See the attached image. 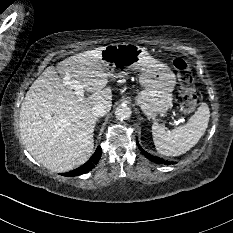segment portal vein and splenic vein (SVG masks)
<instances>
[{
    "label": "portal vein and splenic vein",
    "mask_w": 233,
    "mask_h": 233,
    "mask_svg": "<svg viewBox=\"0 0 233 233\" xmlns=\"http://www.w3.org/2000/svg\"><path fill=\"white\" fill-rule=\"evenodd\" d=\"M63 82L65 85H70L79 97H84V90L82 85L78 84L75 80H70L68 76L64 77Z\"/></svg>",
    "instance_id": "portal-vein-and-splenic-vein-1"
}]
</instances>
